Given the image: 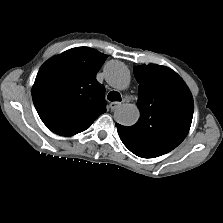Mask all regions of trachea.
I'll list each match as a JSON object with an SVG mask.
<instances>
[{"mask_svg":"<svg viewBox=\"0 0 223 223\" xmlns=\"http://www.w3.org/2000/svg\"><path fill=\"white\" fill-rule=\"evenodd\" d=\"M107 99L109 101H121V95L117 91H111L108 94Z\"/></svg>","mask_w":223,"mask_h":223,"instance_id":"trachea-1","label":"trachea"}]
</instances>
